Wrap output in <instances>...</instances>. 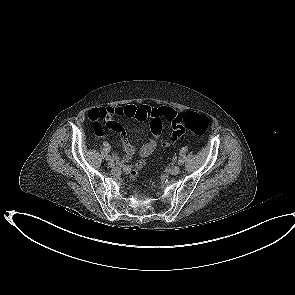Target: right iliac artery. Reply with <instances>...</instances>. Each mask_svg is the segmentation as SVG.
I'll return each instance as SVG.
<instances>
[{"instance_id": "1", "label": "right iliac artery", "mask_w": 295, "mask_h": 295, "mask_svg": "<svg viewBox=\"0 0 295 295\" xmlns=\"http://www.w3.org/2000/svg\"><path fill=\"white\" fill-rule=\"evenodd\" d=\"M107 160H109V161H113V159L111 158V156H108V157H107Z\"/></svg>"}]
</instances>
